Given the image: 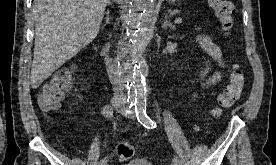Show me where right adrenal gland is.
<instances>
[{
	"label": "right adrenal gland",
	"instance_id": "1",
	"mask_svg": "<svg viewBox=\"0 0 276 165\" xmlns=\"http://www.w3.org/2000/svg\"><path fill=\"white\" fill-rule=\"evenodd\" d=\"M110 12L109 10L106 11V17H105V24L102 26V29L110 23V16H109Z\"/></svg>",
	"mask_w": 276,
	"mask_h": 165
}]
</instances>
